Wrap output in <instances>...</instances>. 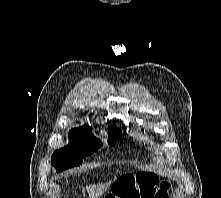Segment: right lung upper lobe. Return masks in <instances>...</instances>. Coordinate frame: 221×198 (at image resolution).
<instances>
[{"mask_svg":"<svg viewBox=\"0 0 221 198\" xmlns=\"http://www.w3.org/2000/svg\"><path fill=\"white\" fill-rule=\"evenodd\" d=\"M109 132H120L119 129H117L116 125L111 126L109 129ZM92 136V128L85 125L80 128H75L70 131V137H90Z\"/></svg>","mask_w":221,"mask_h":198,"instance_id":"cb5924a9","label":"right lung upper lobe"}]
</instances>
